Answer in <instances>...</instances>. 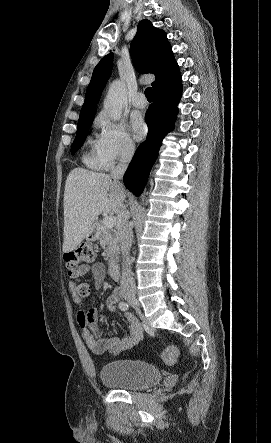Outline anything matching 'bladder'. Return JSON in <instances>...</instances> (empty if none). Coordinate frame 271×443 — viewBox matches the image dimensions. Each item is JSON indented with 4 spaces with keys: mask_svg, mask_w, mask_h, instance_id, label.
Here are the masks:
<instances>
[{
    "mask_svg": "<svg viewBox=\"0 0 271 443\" xmlns=\"http://www.w3.org/2000/svg\"><path fill=\"white\" fill-rule=\"evenodd\" d=\"M162 379L160 370L153 364L136 359H119L104 364L100 380L109 388L136 390L158 384Z\"/></svg>",
    "mask_w": 271,
    "mask_h": 443,
    "instance_id": "31cf9c89",
    "label": "bladder"
}]
</instances>
